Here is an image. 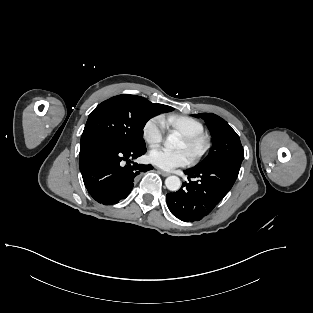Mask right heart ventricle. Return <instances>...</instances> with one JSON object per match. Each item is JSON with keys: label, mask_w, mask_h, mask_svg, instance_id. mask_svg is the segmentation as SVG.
Returning a JSON list of instances; mask_svg holds the SVG:
<instances>
[{"label": "right heart ventricle", "mask_w": 313, "mask_h": 313, "mask_svg": "<svg viewBox=\"0 0 313 313\" xmlns=\"http://www.w3.org/2000/svg\"><path fill=\"white\" fill-rule=\"evenodd\" d=\"M162 119L166 127L182 136L196 135L204 131V126L199 120L187 115L172 114Z\"/></svg>", "instance_id": "obj_1"}]
</instances>
